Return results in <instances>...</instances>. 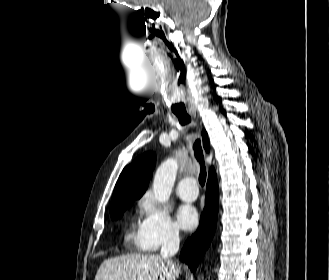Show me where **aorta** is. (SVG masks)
Listing matches in <instances>:
<instances>
[{
	"mask_svg": "<svg viewBox=\"0 0 329 280\" xmlns=\"http://www.w3.org/2000/svg\"><path fill=\"white\" fill-rule=\"evenodd\" d=\"M177 170L178 163L173 158L163 162L157 169L153 180V193L158 202L165 203L168 201L175 183Z\"/></svg>",
	"mask_w": 329,
	"mask_h": 280,
	"instance_id": "1",
	"label": "aorta"
}]
</instances>
